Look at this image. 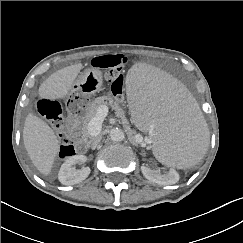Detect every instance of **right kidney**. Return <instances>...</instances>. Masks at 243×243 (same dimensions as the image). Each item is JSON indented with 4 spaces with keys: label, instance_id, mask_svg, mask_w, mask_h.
Returning <instances> with one entry per match:
<instances>
[{
    "label": "right kidney",
    "instance_id": "obj_1",
    "mask_svg": "<svg viewBox=\"0 0 243 243\" xmlns=\"http://www.w3.org/2000/svg\"><path fill=\"white\" fill-rule=\"evenodd\" d=\"M87 161L84 155H74L69 157L60 168L58 179L63 185H74L85 180L90 174L89 167L75 169L76 164H83Z\"/></svg>",
    "mask_w": 243,
    "mask_h": 243
}]
</instances>
